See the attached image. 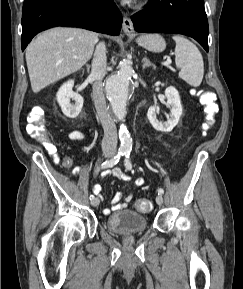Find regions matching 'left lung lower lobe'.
I'll list each match as a JSON object with an SVG mask.
<instances>
[{
  "label": "left lung lower lobe",
  "instance_id": "left-lung-lower-lobe-1",
  "mask_svg": "<svg viewBox=\"0 0 243 289\" xmlns=\"http://www.w3.org/2000/svg\"><path fill=\"white\" fill-rule=\"evenodd\" d=\"M134 28L145 33H174L193 37L208 52V20L204 0H150L131 16Z\"/></svg>",
  "mask_w": 243,
  "mask_h": 289
}]
</instances>
